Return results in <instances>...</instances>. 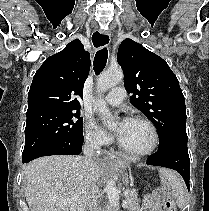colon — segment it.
Instances as JSON below:
<instances>
[{"label": "colon", "instance_id": "1", "mask_svg": "<svg viewBox=\"0 0 209 211\" xmlns=\"http://www.w3.org/2000/svg\"><path fill=\"white\" fill-rule=\"evenodd\" d=\"M165 188L169 189L167 185L165 186ZM164 205H165L166 211H176V204L172 198H166Z\"/></svg>", "mask_w": 209, "mask_h": 211}]
</instances>
